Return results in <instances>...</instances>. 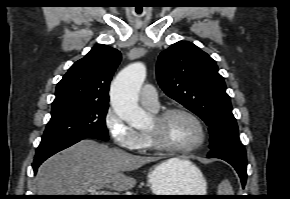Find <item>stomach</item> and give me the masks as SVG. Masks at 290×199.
Here are the masks:
<instances>
[{
    "mask_svg": "<svg viewBox=\"0 0 290 199\" xmlns=\"http://www.w3.org/2000/svg\"><path fill=\"white\" fill-rule=\"evenodd\" d=\"M148 186L154 195H206L207 183L201 171L192 163L175 168L165 162L157 164L147 175ZM163 198L197 199L199 196Z\"/></svg>",
    "mask_w": 290,
    "mask_h": 199,
    "instance_id": "stomach-1",
    "label": "stomach"
}]
</instances>
